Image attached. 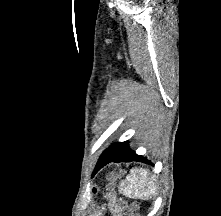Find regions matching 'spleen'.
Masks as SVG:
<instances>
[{
    "label": "spleen",
    "mask_w": 221,
    "mask_h": 216,
    "mask_svg": "<svg viewBox=\"0 0 221 216\" xmlns=\"http://www.w3.org/2000/svg\"><path fill=\"white\" fill-rule=\"evenodd\" d=\"M120 190L129 198L142 199L156 193L154 177L147 169H132L125 181H121Z\"/></svg>",
    "instance_id": "obj_1"
}]
</instances>
